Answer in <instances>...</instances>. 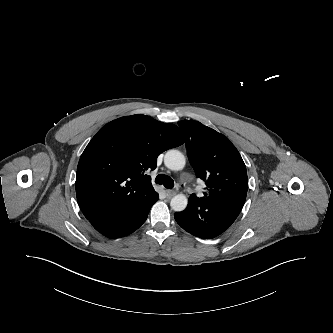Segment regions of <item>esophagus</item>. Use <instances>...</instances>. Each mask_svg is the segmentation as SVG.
Instances as JSON below:
<instances>
[{"label":"esophagus","instance_id":"1","mask_svg":"<svg viewBox=\"0 0 333 333\" xmlns=\"http://www.w3.org/2000/svg\"><path fill=\"white\" fill-rule=\"evenodd\" d=\"M166 195H167V198H172L173 196H175L176 195V191H174V190H167L166 191Z\"/></svg>","mask_w":333,"mask_h":333}]
</instances>
